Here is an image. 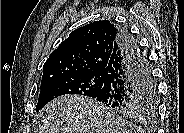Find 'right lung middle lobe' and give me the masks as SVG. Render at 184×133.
I'll list each match as a JSON object with an SVG mask.
<instances>
[{
  "label": "right lung middle lobe",
  "mask_w": 184,
  "mask_h": 133,
  "mask_svg": "<svg viewBox=\"0 0 184 133\" xmlns=\"http://www.w3.org/2000/svg\"><path fill=\"white\" fill-rule=\"evenodd\" d=\"M103 85V74L64 77L55 79L41 86V91L36 106L39 111L48 102L65 94H80L95 97ZM108 111L130 116H152L157 107V90L152 82L147 98L131 105H105Z\"/></svg>",
  "instance_id": "obj_1"
}]
</instances>
